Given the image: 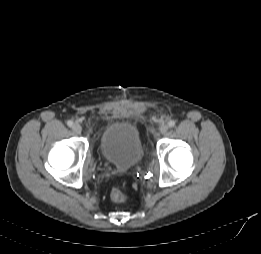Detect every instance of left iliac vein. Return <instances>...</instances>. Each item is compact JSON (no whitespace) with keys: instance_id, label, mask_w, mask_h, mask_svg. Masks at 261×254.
<instances>
[{"instance_id":"1","label":"left iliac vein","mask_w":261,"mask_h":254,"mask_svg":"<svg viewBox=\"0 0 261 254\" xmlns=\"http://www.w3.org/2000/svg\"><path fill=\"white\" fill-rule=\"evenodd\" d=\"M159 131H160L161 134L166 133V132L168 131V125L163 124V125L160 127Z\"/></svg>"}]
</instances>
